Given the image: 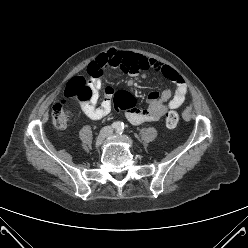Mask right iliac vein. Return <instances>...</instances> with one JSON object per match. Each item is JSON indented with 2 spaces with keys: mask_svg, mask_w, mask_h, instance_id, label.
<instances>
[{
  "mask_svg": "<svg viewBox=\"0 0 248 248\" xmlns=\"http://www.w3.org/2000/svg\"><path fill=\"white\" fill-rule=\"evenodd\" d=\"M109 128H103L97 139H96V142H95V148L98 149L100 148V146L103 144V142L105 141V139L108 137V134H109Z\"/></svg>",
  "mask_w": 248,
  "mask_h": 248,
  "instance_id": "1",
  "label": "right iliac vein"
}]
</instances>
